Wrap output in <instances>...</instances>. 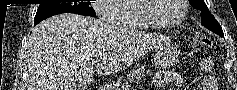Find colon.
Segmentation results:
<instances>
[{
    "instance_id": "5ec220e1",
    "label": "colon",
    "mask_w": 237,
    "mask_h": 90,
    "mask_svg": "<svg viewBox=\"0 0 237 90\" xmlns=\"http://www.w3.org/2000/svg\"><path fill=\"white\" fill-rule=\"evenodd\" d=\"M198 42L200 44H203V45H206V46H211V44H212L211 39L208 36H205V35H200L198 37Z\"/></svg>"
}]
</instances>
